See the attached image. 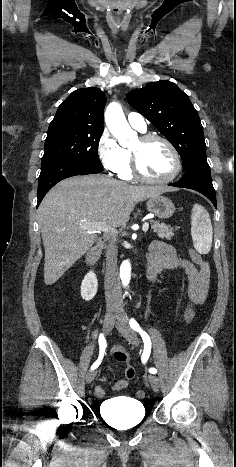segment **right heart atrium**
I'll list each match as a JSON object with an SVG mask.
<instances>
[{
	"mask_svg": "<svg viewBox=\"0 0 236 467\" xmlns=\"http://www.w3.org/2000/svg\"><path fill=\"white\" fill-rule=\"evenodd\" d=\"M97 154L101 165L109 172H119L127 162L126 150L108 130H104L99 137Z\"/></svg>",
	"mask_w": 236,
	"mask_h": 467,
	"instance_id": "d8ad5b80",
	"label": "right heart atrium"
}]
</instances>
